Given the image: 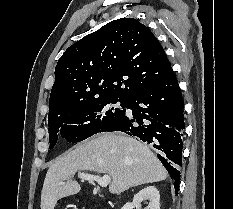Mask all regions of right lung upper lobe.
<instances>
[{
	"label": "right lung upper lobe",
	"instance_id": "1",
	"mask_svg": "<svg viewBox=\"0 0 233 209\" xmlns=\"http://www.w3.org/2000/svg\"><path fill=\"white\" fill-rule=\"evenodd\" d=\"M171 64L154 34L120 18L71 45L55 68L51 113L106 98L127 100L161 81Z\"/></svg>",
	"mask_w": 233,
	"mask_h": 209
}]
</instances>
